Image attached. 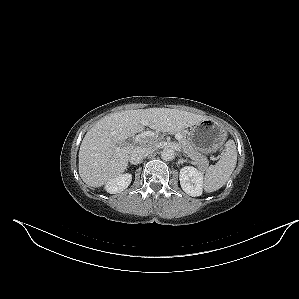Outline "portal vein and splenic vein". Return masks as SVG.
<instances>
[{
    "label": "portal vein and splenic vein",
    "instance_id": "18ae733b",
    "mask_svg": "<svg viewBox=\"0 0 299 299\" xmlns=\"http://www.w3.org/2000/svg\"><path fill=\"white\" fill-rule=\"evenodd\" d=\"M143 124H146L143 122ZM154 136V133L151 132V131H146V132H143L139 135L136 136L135 138V142H139L142 138H145V137H153ZM175 138L177 140H181L182 139V136L180 134H175Z\"/></svg>",
    "mask_w": 299,
    "mask_h": 299
}]
</instances>
